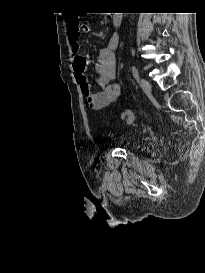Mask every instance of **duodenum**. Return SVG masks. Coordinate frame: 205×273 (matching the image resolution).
I'll list each match as a JSON object with an SVG mask.
<instances>
[{"label": "duodenum", "mask_w": 205, "mask_h": 273, "mask_svg": "<svg viewBox=\"0 0 205 273\" xmlns=\"http://www.w3.org/2000/svg\"><path fill=\"white\" fill-rule=\"evenodd\" d=\"M120 15L119 14H114L113 15V24L114 25H119V23H120Z\"/></svg>", "instance_id": "duodenum-1"}]
</instances>
